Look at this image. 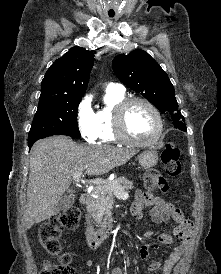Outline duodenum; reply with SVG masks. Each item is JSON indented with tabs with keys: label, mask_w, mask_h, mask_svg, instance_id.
<instances>
[{
	"label": "duodenum",
	"mask_w": 221,
	"mask_h": 274,
	"mask_svg": "<svg viewBox=\"0 0 221 274\" xmlns=\"http://www.w3.org/2000/svg\"><path fill=\"white\" fill-rule=\"evenodd\" d=\"M92 200V196L88 192H84L80 195L79 201L83 205H88ZM114 227L111 223L107 222L102 224L98 229L93 230L90 226L86 231V241L91 248H97L106 239L112 236Z\"/></svg>",
	"instance_id": "duodenum-1"
}]
</instances>
